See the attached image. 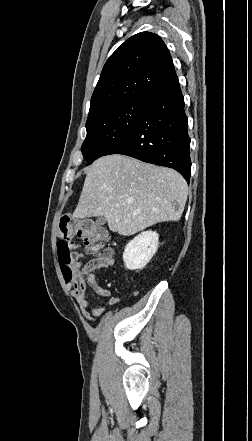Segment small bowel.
<instances>
[{"label": "small bowel", "mask_w": 252, "mask_h": 441, "mask_svg": "<svg viewBox=\"0 0 252 441\" xmlns=\"http://www.w3.org/2000/svg\"><path fill=\"white\" fill-rule=\"evenodd\" d=\"M86 255L91 256L89 260L80 270L78 280L67 282L72 290V295L77 301L84 318L88 322H94L95 317L101 316L105 313V309L100 305H92L87 294V287H91L96 294L106 298L110 305H116L118 298L114 296L109 290L103 288L98 284L95 277V272L101 268H108L114 264L113 251L110 248H104L99 252H89L86 250ZM77 259L80 257L76 254Z\"/></svg>", "instance_id": "c3829d8e"}]
</instances>
